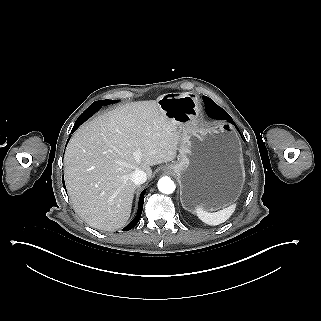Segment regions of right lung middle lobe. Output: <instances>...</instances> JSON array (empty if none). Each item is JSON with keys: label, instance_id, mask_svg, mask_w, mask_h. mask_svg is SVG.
I'll return each instance as SVG.
<instances>
[{"label": "right lung middle lobe", "instance_id": "dd1d6c3e", "mask_svg": "<svg viewBox=\"0 0 321 321\" xmlns=\"http://www.w3.org/2000/svg\"><path fill=\"white\" fill-rule=\"evenodd\" d=\"M113 101L115 102L116 100H108V102H113Z\"/></svg>", "mask_w": 321, "mask_h": 321}]
</instances>
